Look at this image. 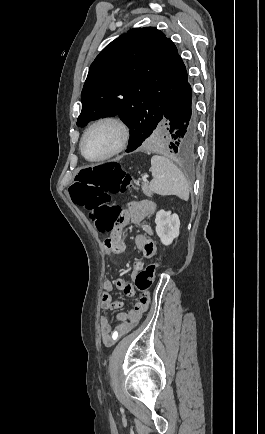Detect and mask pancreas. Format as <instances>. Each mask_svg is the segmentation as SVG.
<instances>
[{"label": "pancreas", "mask_w": 265, "mask_h": 434, "mask_svg": "<svg viewBox=\"0 0 265 434\" xmlns=\"http://www.w3.org/2000/svg\"><path fill=\"white\" fill-rule=\"evenodd\" d=\"M141 188H142L145 196H149V198H152V192H151L147 182H143Z\"/></svg>", "instance_id": "obj_1"}]
</instances>
